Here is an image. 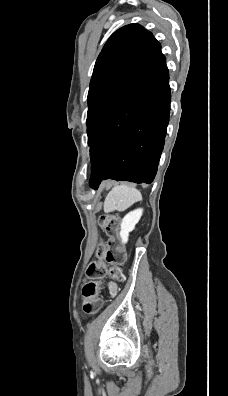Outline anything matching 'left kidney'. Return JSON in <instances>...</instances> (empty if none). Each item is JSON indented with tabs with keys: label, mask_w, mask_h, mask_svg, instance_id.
I'll return each mask as SVG.
<instances>
[{
	"label": "left kidney",
	"mask_w": 228,
	"mask_h": 396,
	"mask_svg": "<svg viewBox=\"0 0 228 396\" xmlns=\"http://www.w3.org/2000/svg\"><path fill=\"white\" fill-rule=\"evenodd\" d=\"M142 213H143V209L139 208L129 212L128 214H126V216H124L121 222V231H120V237L123 244L127 243L129 233L134 230L135 225L139 222L142 216Z\"/></svg>",
	"instance_id": "left-kidney-1"
}]
</instances>
